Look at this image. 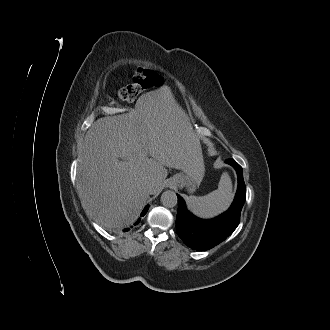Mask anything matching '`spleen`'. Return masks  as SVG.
I'll use <instances>...</instances> for the list:
<instances>
[{
  "instance_id": "obj_1",
  "label": "spleen",
  "mask_w": 330,
  "mask_h": 330,
  "mask_svg": "<svg viewBox=\"0 0 330 330\" xmlns=\"http://www.w3.org/2000/svg\"><path fill=\"white\" fill-rule=\"evenodd\" d=\"M233 200L232 181L228 173H223L218 189L205 196L187 197V205L191 212L200 218H212L226 211Z\"/></svg>"
}]
</instances>
